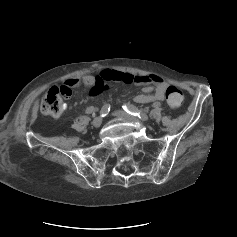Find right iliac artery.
<instances>
[{"mask_svg": "<svg viewBox=\"0 0 237 237\" xmlns=\"http://www.w3.org/2000/svg\"><path fill=\"white\" fill-rule=\"evenodd\" d=\"M109 111H110V105L109 104L103 105L100 111V116L105 117L109 113Z\"/></svg>", "mask_w": 237, "mask_h": 237, "instance_id": "right-iliac-artery-1", "label": "right iliac artery"}]
</instances>
